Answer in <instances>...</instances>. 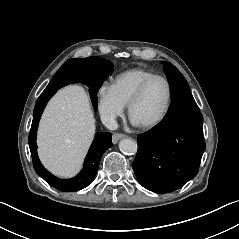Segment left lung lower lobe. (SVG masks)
I'll return each mask as SVG.
<instances>
[{"label":"left lung lower lobe","mask_w":239,"mask_h":239,"mask_svg":"<svg viewBox=\"0 0 239 239\" xmlns=\"http://www.w3.org/2000/svg\"><path fill=\"white\" fill-rule=\"evenodd\" d=\"M205 148L202 114L191 92L184 93L158 125L138 136L132 167L144 188L169 193L196 176Z\"/></svg>","instance_id":"1"}]
</instances>
